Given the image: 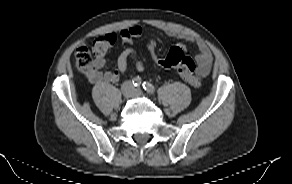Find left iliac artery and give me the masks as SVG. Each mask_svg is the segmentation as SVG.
Here are the masks:
<instances>
[{"instance_id":"left-iliac-artery-1","label":"left iliac artery","mask_w":292,"mask_h":184,"mask_svg":"<svg viewBox=\"0 0 292 184\" xmlns=\"http://www.w3.org/2000/svg\"><path fill=\"white\" fill-rule=\"evenodd\" d=\"M142 86H143V89L150 94H153L155 92V87L149 82H144Z\"/></svg>"}]
</instances>
